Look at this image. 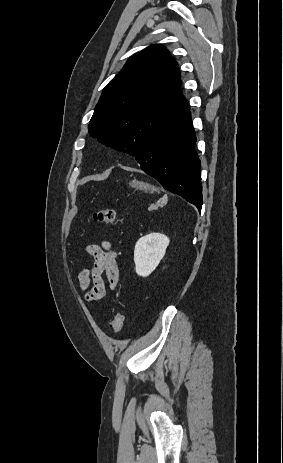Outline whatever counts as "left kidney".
Instances as JSON below:
<instances>
[{"label": "left kidney", "mask_w": 283, "mask_h": 463, "mask_svg": "<svg viewBox=\"0 0 283 463\" xmlns=\"http://www.w3.org/2000/svg\"><path fill=\"white\" fill-rule=\"evenodd\" d=\"M169 238L161 233H150L140 238L134 250L135 270L139 276L150 275L165 255Z\"/></svg>", "instance_id": "5707ae66"}]
</instances>
